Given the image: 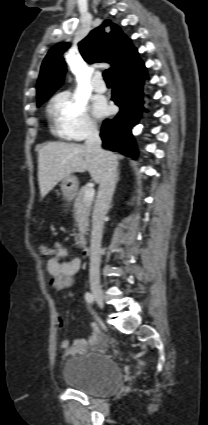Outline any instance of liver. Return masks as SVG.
Here are the masks:
<instances>
[{
  "instance_id": "6515ba94",
  "label": "liver",
  "mask_w": 208,
  "mask_h": 425,
  "mask_svg": "<svg viewBox=\"0 0 208 425\" xmlns=\"http://www.w3.org/2000/svg\"><path fill=\"white\" fill-rule=\"evenodd\" d=\"M116 159L121 156L114 155ZM88 171L96 183H100L103 172V160L86 145L49 142L38 152V181L40 195L44 198L56 184L71 175Z\"/></svg>"
}]
</instances>
